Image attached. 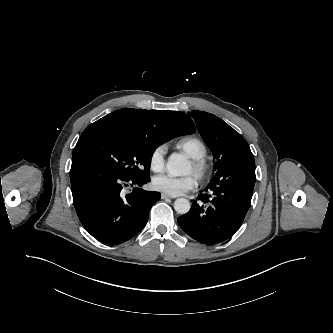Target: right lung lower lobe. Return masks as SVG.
Segmentation results:
<instances>
[{
	"instance_id": "1",
	"label": "right lung lower lobe",
	"mask_w": 333,
	"mask_h": 333,
	"mask_svg": "<svg viewBox=\"0 0 333 333\" xmlns=\"http://www.w3.org/2000/svg\"><path fill=\"white\" fill-rule=\"evenodd\" d=\"M70 179L80 222L88 233L107 244L123 243L140 232L152 205L160 198L157 192L136 187L150 177L122 176L84 155L73 156ZM129 186L135 188L125 195Z\"/></svg>"
}]
</instances>
